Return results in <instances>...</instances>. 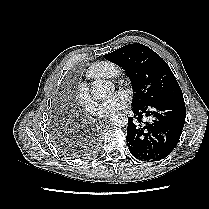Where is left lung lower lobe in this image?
Masks as SVG:
<instances>
[{"label":"left lung lower lobe","mask_w":209,"mask_h":209,"mask_svg":"<svg viewBox=\"0 0 209 209\" xmlns=\"http://www.w3.org/2000/svg\"><path fill=\"white\" fill-rule=\"evenodd\" d=\"M128 117L127 145L141 161H160L176 147L185 123L183 97L132 108Z\"/></svg>","instance_id":"obj_1"}]
</instances>
